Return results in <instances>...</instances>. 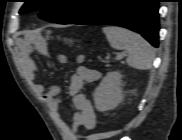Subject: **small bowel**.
Returning a JSON list of instances; mask_svg holds the SVG:
<instances>
[{
	"mask_svg": "<svg viewBox=\"0 0 182 140\" xmlns=\"http://www.w3.org/2000/svg\"><path fill=\"white\" fill-rule=\"evenodd\" d=\"M32 51H37L41 54L45 53V43L38 38L34 45L28 43L22 44L20 54L21 63L25 69V74L30 82L33 83L34 90L41 96L43 102L48 106L53 114H58L61 104L59 97L60 89L56 85L44 86L37 83L38 68L30 54ZM56 61L60 65L67 64V57L64 54H58ZM84 56L79 55L76 58L77 68L70 78L68 92L72 96V104L74 111L72 113L73 129L77 131L79 128L91 130L96 125V114L91 101L82 89L86 83H94L101 77L99 71L89 69L82 65Z\"/></svg>",
	"mask_w": 182,
	"mask_h": 140,
	"instance_id": "small-bowel-1",
	"label": "small bowel"
}]
</instances>
